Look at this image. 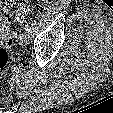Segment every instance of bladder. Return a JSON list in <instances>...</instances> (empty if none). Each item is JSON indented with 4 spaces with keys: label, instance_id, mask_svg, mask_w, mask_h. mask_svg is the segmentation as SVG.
<instances>
[{
    "label": "bladder",
    "instance_id": "obj_1",
    "mask_svg": "<svg viewBox=\"0 0 113 113\" xmlns=\"http://www.w3.org/2000/svg\"><path fill=\"white\" fill-rule=\"evenodd\" d=\"M8 33V28H5L4 31L1 33V38L5 39Z\"/></svg>",
    "mask_w": 113,
    "mask_h": 113
}]
</instances>
